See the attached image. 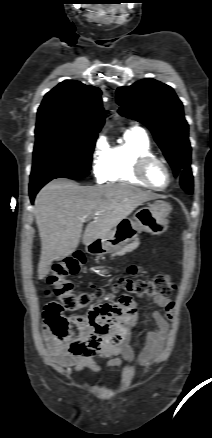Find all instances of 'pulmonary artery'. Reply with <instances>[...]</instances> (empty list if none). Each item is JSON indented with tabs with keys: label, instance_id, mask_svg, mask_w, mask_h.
Instances as JSON below:
<instances>
[{
	"label": "pulmonary artery",
	"instance_id": "obj_1",
	"mask_svg": "<svg viewBox=\"0 0 212 438\" xmlns=\"http://www.w3.org/2000/svg\"><path fill=\"white\" fill-rule=\"evenodd\" d=\"M136 129H141V128H139V127H135Z\"/></svg>",
	"mask_w": 212,
	"mask_h": 438
}]
</instances>
